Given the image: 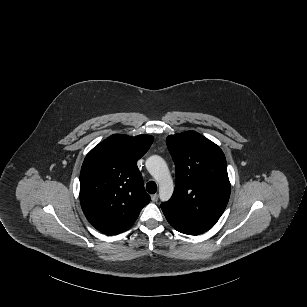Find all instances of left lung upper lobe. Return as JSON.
I'll return each instance as SVG.
<instances>
[{
  "label": "left lung upper lobe",
  "mask_w": 307,
  "mask_h": 307,
  "mask_svg": "<svg viewBox=\"0 0 307 307\" xmlns=\"http://www.w3.org/2000/svg\"><path fill=\"white\" fill-rule=\"evenodd\" d=\"M166 144L176 166V185L161 208L184 226L205 232L218 221L229 200L225 156L195 131L170 135Z\"/></svg>",
  "instance_id": "left-lung-upper-lobe-1"
}]
</instances>
